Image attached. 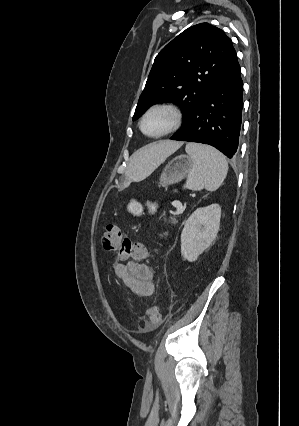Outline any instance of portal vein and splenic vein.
I'll use <instances>...</instances> for the list:
<instances>
[{"instance_id":"18ae733b","label":"portal vein and splenic vein","mask_w":299,"mask_h":426,"mask_svg":"<svg viewBox=\"0 0 299 426\" xmlns=\"http://www.w3.org/2000/svg\"><path fill=\"white\" fill-rule=\"evenodd\" d=\"M172 205H173L174 207H176V208H181V207H182V204H181L180 202H178V201H174V202L172 203Z\"/></svg>"}]
</instances>
